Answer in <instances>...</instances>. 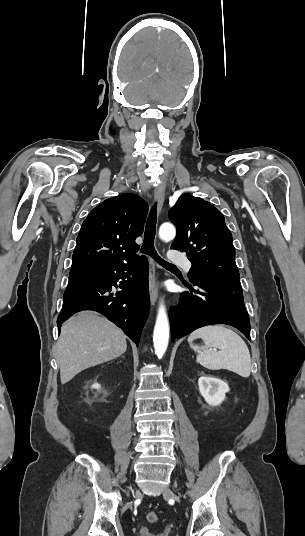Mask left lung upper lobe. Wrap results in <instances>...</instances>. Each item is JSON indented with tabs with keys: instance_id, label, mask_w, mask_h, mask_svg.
I'll use <instances>...</instances> for the list:
<instances>
[{
	"instance_id": "left-lung-upper-lobe-1",
	"label": "left lung upper lobe",
	"mask_w": 305,
	"mask_h": 536,
	"mask_svg": "<svg viewBox=\"0 0 305 536\" xmlns=\"http://www.w3.org/2000/svg\"><path fill=\"white\" fill-rule=\"evenodd\" d=\"M168 216L177 226L171 248L187 252L192 263L189 279L240 282L232 234L218 209L199 197L184 194Z\"/></svg>"
}]
</instances>
